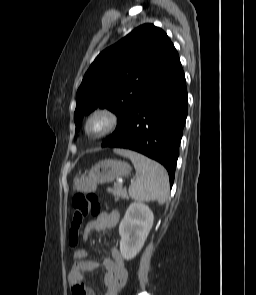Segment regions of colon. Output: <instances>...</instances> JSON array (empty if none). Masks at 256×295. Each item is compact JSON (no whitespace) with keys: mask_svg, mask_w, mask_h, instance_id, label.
Segmentation results:
<instances>
[{"mask_svg":"<svg viewBox=\"0 0 256 295\" xmlns=\"http://www.w3.org/2000/svg\"><path fill=\"white\" fill-rule=\"evenodd\" d=\"M73 214L69 227V240L72 247H76L82 235L85 221L99 214L100 203L96 194H76L72 199Z\"/></svg>","mask_w":256,"mask_h":295,"instance_id":"5ec220e1","label":"colon"}]
</instances>
